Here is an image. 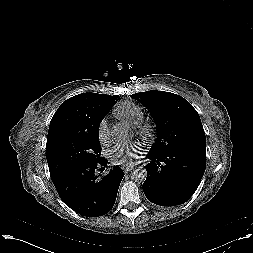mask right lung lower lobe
<instances>
[{
    "label": "right lung lower lobe",
    "instance_id": "right-lung-lower-lobe-1",
    "mask_svg": "<svg viewBox=\"0 0 253 253\" xmlns=\"http://www.w3.org/2000/svg\"><path fill=\"white\" fill-rule=\"evenodd\" d=\"M107 164L105 158L97 163L74 167L51 174V180L63 202L72 210L87 217L108 213L116 200L124 172L114 166L105 176L98 175Z\"/></svg>",
    "mask_w": 253,
    "mask_h": 253
}]
</instances>
